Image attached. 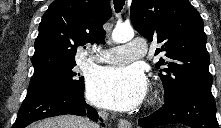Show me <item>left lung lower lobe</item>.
<instances>
[{
  "instance_id": "1",
  "label": "left lung lower lobe",
  "mask_w": 221,
  "mask_h": 128,
  "mask_svg": "<svg viewBox=\"0 0 221 128\" xmlns=\"http://www.w3.org/2000/svg\"><path fill=\"white\" fill-rule=\"evenodd\" d=\"M143 128H155L172 123H182L192 128H219L216 104L211 90L191 89L152 113L141 118Z\"/></svg>"
}]
</instances>
